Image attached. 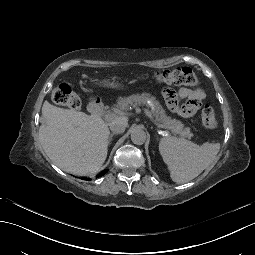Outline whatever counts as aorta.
Wrapping results in <instances>:
<instances>
[{"label": "aorta", "mask_w": 255, "mask_h": 255, "mask_svg": "<svg viewBox=\"0 0 255 255\" xmlns=\"http://www.w3.org/2000/svg\"><path fill=\"white\" fill-rule=\"evenodd\" d=\"M146 133L144 130L140 129V128H135L132 132H131V140L134 144L136 145H142L145 143L146 141Z\"/></svg>", "instance_id": "1"}]
</instances>
